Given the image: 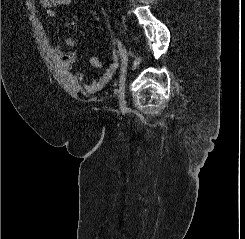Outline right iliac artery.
I'll return each mask as SVG.
<instances>
[{
	"label": "right iliac artery",
	"mask_w": 245,
	"mask_h": 239,
	"mask_svg": "<svg viewBox=\"0 0 245 239\" xmlns=\"http://www.w3.org/2000/svg\"><path fill=\"white\" fill-rule=\"evenodd\" d=\"M114 43L117 44L118 48H119L120 58H121V68H122V66L125 63V52H126V50L118 39H114Z\"/></svg>",
	"instance_id": "obj_1"
}]
</instances>
